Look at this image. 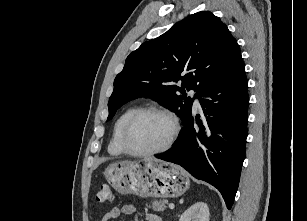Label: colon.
<instances>
[{
	"instance_id": "5ec220e1",
	"label": "colon",
	"mask_w": 307,
	"mask_h": 221,
	"mask_svg": "<svg viewBox=\"0 0 307 221\" xmlns=\"http://www.w3.org/2000/svg\"><path fill=\"white\" fill-rule=\"evenodd\" d=\"M96 199L99 203H110L114 200V193L108 185H103L100 187Z\"/></svg>"
}]
</instances>
